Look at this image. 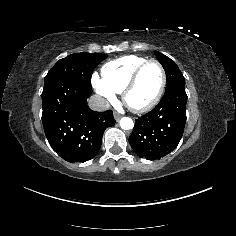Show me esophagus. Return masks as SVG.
<instances>
[{"label":"esophagus","instance_id":"esophagus-1","mask_svg":"<svg viewBox=\"0 0 236 236\" xmlns=\"http://www.w3.org/2000/svg\"><path fill=\"white\" fill-rule=\"evenodd\" d=\"M122 117V115L120 114V113H118V112H115L114 113V118H115V120L116 121H119V119Z\"/></svg>","mask_w":236,"mask_h":236}]
</instances>
